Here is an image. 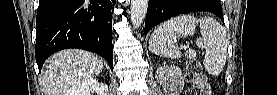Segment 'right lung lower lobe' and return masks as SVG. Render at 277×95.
<instances>
[{
	"label": "right lung lower lobe",
	"instance_id": "98d812e1",
	"mask_svg": "<svg viewBox=\"0 0 277 95\" xmlns=\"http://www.w3.org/2000/svg\"><path fill=\"white\" fill-rule=\"evenodd\" d=\"M114 5L115 0H40L35 46L39 71L50 55L67 48L97 53L113 70Z\"/></svg>",
	"mask_w": 277,
	"mask_h": 95
}]
</instances>
